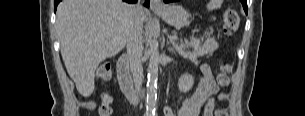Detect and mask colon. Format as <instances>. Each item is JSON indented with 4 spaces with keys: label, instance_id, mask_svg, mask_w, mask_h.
<instances>
[{
    "label": "colon",
    "instance_id": "5ec220e1",
    "mask_svg": "<svg viewBox=\"0 0 305 116\" xmlns=\"http://www.w3.org/2000/svg\"><path fill=\"white\" fill-rule=\"evenodd\" d=\"M239 15L233 9H227L223 13V30L227 36H231L239 26ZM232 72V65L223 62L219 66L217 74V83L220 86H226L229 83V76ZM112 69L109 63H101L96 71V76L103 80L111 78ZM112 98L109 94H104L102 97L101 106L99 109L100 116H110L112 114L111 108Z\"/></svg>",
    "mask_w": 305,
    "mask_h": 116
}]
</instances>
